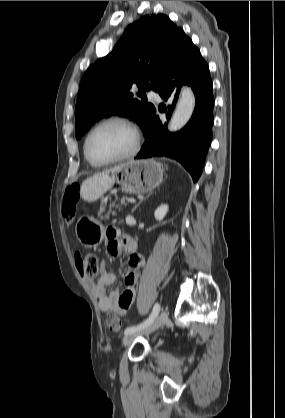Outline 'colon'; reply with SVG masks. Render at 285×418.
<instances>
[{
  "label": "colon",
  "mask_w": 285,
  "mask_h": 418,
  "mask_svg": "<svg viewBox=\"0 0 285 418\" xmlns=\"http://www.w3.org/2000/svg\"><path fill=\"white\" fill-rule=\"evenodd\" d=\"M76 204H77V190L74 187L66 188L64 192L61 212L67 223H74L76 221ZM77 268L84 278H95L99 273V263L96 256L92 254L83 255L77 252L76 255ZM107 328L110 331L117 332L121 329V321L119 317L109 312L106 317Z\"/></svg>",
  "instance_id": "5ec220e1"
}]
</instances>
